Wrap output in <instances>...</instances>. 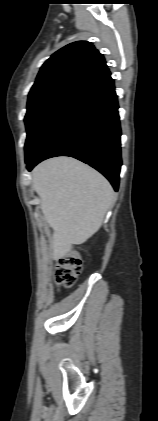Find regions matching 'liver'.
<instances>
[{
    "mask_svg": "<svg viewBox=\"0 0 158 421\" xmlns=\"http://www.w3.org/2000/svg\"><path fill=\"white\" fill-rule=\"evenodd\" d=\"M41 211L53 229L52 257L66 256L73 244L84 243L102 225L114 191L99 172L68 157L46 160L32 172Z\"/></svg>",
    "mask_w": 158,
    "mask_h": 421,
    "instance_id": "obj_1",
    "label": "liver"
}]
</instances>
